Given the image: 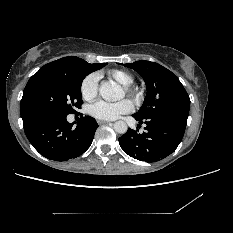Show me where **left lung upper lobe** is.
I'll return each instance as SVG.
<instances>
[{
  "mask_svg": "<svg viewBox=\"0 0 233 233\" xmlns=\"http://www.w3.org/2000/svg\"><path fill=\"white\" fill-rule=\"evenodd\" d=\"M124 66L138 72L147 86L144 103L134 116L140 119L156 116L188 118L190 98L175 74L158 63L145 60Z\"/></svg>",
  "mask_w": 233,
  "mask_h": 233,
  "instance_id": "obj_1",
  "label": "left lung upper lobe"
}]
</instances>
